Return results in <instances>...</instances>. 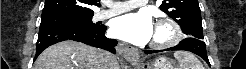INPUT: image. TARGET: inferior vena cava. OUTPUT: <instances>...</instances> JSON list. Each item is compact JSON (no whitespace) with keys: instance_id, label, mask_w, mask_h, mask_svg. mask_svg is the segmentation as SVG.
Here are the masks:
<instances>
[{"instance_id":"602c4592","label":"inferior vena cava","mask_w":246,"mask_h":69,"mask_svg":"<svg viewBox=\"0 0 246 69\" xmlns=\"http://www.w3.org/2000/svg\"><path fill=\"white\" fill-rule=\"evenodd\" d=\"M116 64H117V59L115 55L108 53V65L106 69H113L114 68L113 66H115Z\"/></svg>"}]
</instances>
